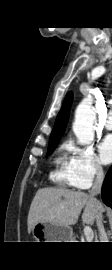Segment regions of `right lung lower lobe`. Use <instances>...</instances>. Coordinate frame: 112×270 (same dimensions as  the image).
I'll list each match as a JSON object with an SVG mask.
<instances>
[{
  "label": "right lung lower lobe",
  "mask_w": 112,
  "mask_h": 270,
  "mask_svg": "<svg viewBox=\"0 0 112 270\" xmlns=\"http://www.w3.org/2000/svg\"><path fill=\"white\" fill-rule=\"evenodd\" d=\"M101 193L103 202L112 208V166L105 177Z\"/></svg>",
  "instance_id": "98d812e1"
}]
</instances>
